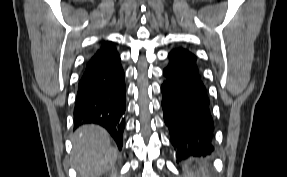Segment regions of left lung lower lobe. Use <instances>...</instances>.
I'll return each mask as SVG.
<instances>
[{
    "label": "left lung lower lobe",
    "instance_id": "left-lung-lower-lobe-1",
    "mask_svg": "<svg viewBox=\"0 0 287 177\" xmlns=\"http://www.w3.org/2000/svg\"><path fill=\"white\" fill-rule=\"evenodd\" d=\"M161 86L164 121L176 149L177 161L213 151V120L197 58L182 48L172 50Z\"/></svg>",
    "mask_w": 287,
    "mask_h": 177
}]
</instances>
